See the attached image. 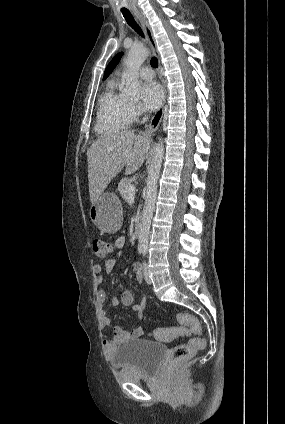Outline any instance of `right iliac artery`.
<instances>
[{"mask_svg":"<svg viewBox=\"0 0 285 424\" xmlns=\"http://www.w3.org/2000/svg\"><path fill=\"white\" fill-rule=\"evenodd\" d=\"M143 250L142 249H139V253H141Z\"/></svg>","mask_w":285,"mask_h":424,"instance_id":"obj_1","label":"right iliac artery"}]
</instances>
